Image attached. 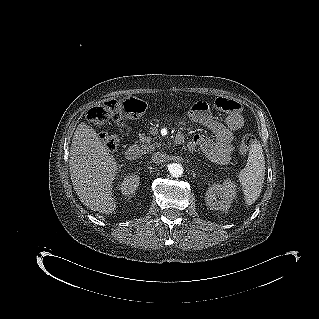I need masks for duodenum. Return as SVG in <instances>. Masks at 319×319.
<instances>
[{"instance_id":"obj_1","label":"duodenum","mask_w":319,"mask_h":319,"mask_svg":"<svg viewBox=\"0 0 319 319\" xmlns=\"http://www.w3.org/2000/svg\"><path fill=\"white\" fill-rule=\"evenodd\" d=\"M184 140V136L182 134H178L176 136V141L178 143H182ZM140 148L137 145H132L126 151V157L131 160L138 159L140 157Z\"/></svg>"}]
</instances>
